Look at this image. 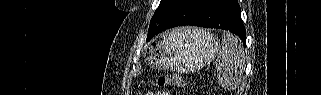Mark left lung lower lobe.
Masks as SVG:
<instances>
[{
	"mask_svg": "<svg viewBox=\"0 0 321 95\" xmlns=\"http://www.w3.org/2000/svg\"><path fill=\"white\" fill-rule=\"evenodd\" d=\"M183 25L229 30L245 45L246 31L237 0H174L147 41L166 29Z\"/></svg>",
	"mask_w": 321,
	"mask_h": 95,
	"instance_id": "0a47b994",
	"label": "left lung lower lobe"
}]
</instances>
